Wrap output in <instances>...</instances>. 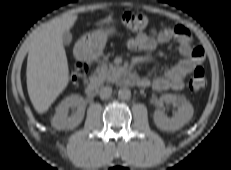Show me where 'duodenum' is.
I'll return each mask as SVG.
<instances>
[{
	"label": "duodenum",
	"mask_w": 231,
	"mask_h": 170,
	"mask_svg": "<svg viewBox=\"0 0 231 170\" xmlns=\"http://www.w3.org/2000/svg\"><path fill=\"white\" fill-rule=\"evenodd\" d=\"M122 80L128 84L140 83L138 76L135 74L134 71H132L129 68H124V72L122 74ZM101 83H102L101 78L98 76H94L90 80L89 84L86 87V95L88 96V98L92 99L97 95L101 87Z\"/></svg>",
	"instance_id": "410a0bca"
}]
</instances>
